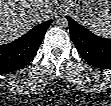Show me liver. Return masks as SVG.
<instances>
[{"label":"liver","instance_id":"1","mask_svg":"<svg viewBox=\"0 0 111 106\" xmlns=\"http://www.w3.org/2000/svg\"><path fill=\"white\" fill-rule=\"evenodd\" d=\"M56 4L55 0H1L0 43L12 42L47 20Z\"/></svg>","mask_w":111,"mask_h":106}]
</instances>
